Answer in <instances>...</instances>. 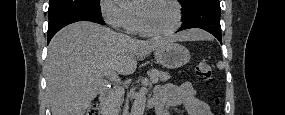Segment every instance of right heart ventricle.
<instances>
[{"mask_svg":"<svg viewBox=\"0 0 285 115\" xmlns=\"http://www.w3.org/2000/svg\"><path fill=\"white\" fill-rule=\"evenodd\" d=\"M134 30L141 32L140 29H139V27H138V23H137V22H136V24H135Z\"/></svg>","mask_w":285,"mask_h":115,"instance_id":"right-heart-ventricle-1","label":"right heart ventricle"}]
</instances>
